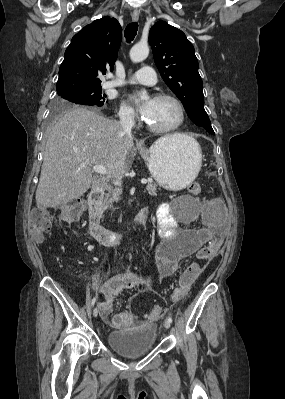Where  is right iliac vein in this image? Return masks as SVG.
I'll return each mask as SVG.
<instances>
[{"instance_id": "obj_1", "label": "right iliac vein", "mask_w": 285, "mask_h": 399, "mask_svg": "<svg viewBox=\"0 0 285 399\" xmlns=\"http://www.w3.org/2000/svg\"><path fill=\"white\" fill-rule=\"evenodd\" d=\"M97 315H98V307H95L93 310V316L97 317Z\"/></svg>"}]
</instances>
